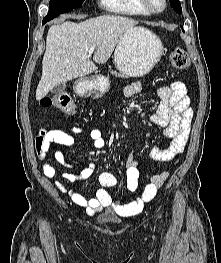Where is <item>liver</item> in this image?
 <instances>
[{
    "mask_svg": "<svg viewBox=\"0 0 221 263\" xmlns=\"http://www.w3.org/2000/svg\"><path fill=\"white\" fill-rule=\"evenodd\" d=\"M137 21L115 15H102L80 23L64 22L52 25L46 37L42 60V76L36 89V99L44 98L56 85L88 75L110 58L120 39L135 29ZM95 47L91 61L88 51Z\"/></svg>",
    "mask_w": 221,
    "mask_h": 263,
    "instance_id": "liver-1",
    "label": "liver"
}]
</instances>
